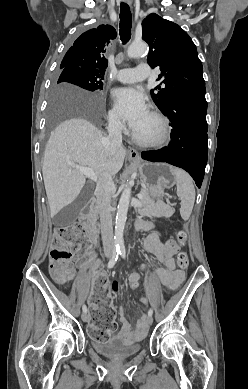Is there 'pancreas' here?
<instances>
[{
  "label": "pancreas",
  "instance_id": "pancreas-1",
  "mask_svg": "<svg viewBox=\"0 0 248 389\" xmlns=\"http://www.w3.org/2000/svg\"><path fill=\"white\" fill-rule=\"evenodd\" d=\"M142 199H140L144 208L140 209V213L145 214H163V215H172L175 210L171 207L170 203L165 204L162 200H157L156 202L150 197V194L146 188L141 190Z\"/></svg>",
  "mask_w": 248,
  "mask_h": 389
}]
</instances>
